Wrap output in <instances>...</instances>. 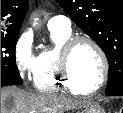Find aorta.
<instances>
[{"label":"aorta","instance_id":"obj_1","mask_svg":"<svg viewBox=\"0 0 123 113\" xmlns=\"http://www.w3.org/2000/svg\"><path fill=\"white\" fill-rule=\"evenodd\" d=\"M37 20H38V19H35V22H34V24H33L34 26L36 25V21H37Z\"/></svg>","mask_w":123,"mask_h":113}]
</instances>
